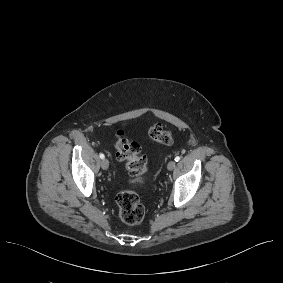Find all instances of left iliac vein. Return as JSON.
Listing matches in <instances>:
<instances>
[{
  "label": "left iliac vein",
  "mask_w": 283,
  "mask_h": 283,
  "mask_svg": "<svg viewBox=\"0 0 283 283\" xmlns=\"http://www.w3.org/2000/svg\"><path fill=\"white\" fill-rule=\"evenodd\" d=\"M175 166H176V162L172 160L168 163L167 168H168V170L171 171L175 168Z\"/></svg>",
  "instance_id": "4c4485c4"
}]
</instances>
